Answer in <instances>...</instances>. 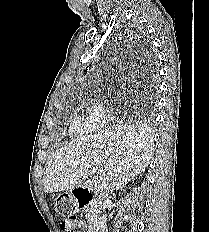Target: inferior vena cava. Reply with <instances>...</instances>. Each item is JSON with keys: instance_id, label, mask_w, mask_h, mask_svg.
Listing matches in <instances>:
<instances>
[{"instance_id": "inferior-vena-cava-1", "label": "inferior vena cava", "mask_w": 209, "mask_h": 232, "mask_svg": "<svg viewBox=\"0 0 209 232\" xmlns=\"http://www.w3.org/2000/svg\"><path fill=\"white\" fill-rule=\"evenodd\" d=\"M109 203H110V200L108 198H105L104 202H103V214L100 218V224H99V228H98V231H100V232H107V227H106L107 218H106V214L104 212H105V209L107 208Z\"/></svg>"}]
</instances>
